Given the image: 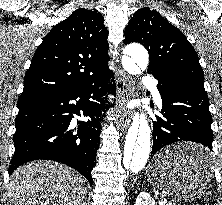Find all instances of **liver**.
<instances>
[{
    "mask_svg": "<svg viewBox=\"0 0 222 205\" xmlns=\"http://www.w3.org/2000/svg\"><path fill=\"white\" fill-rule=\"evenodd\" d=\"M84 178L52 161H32L14 171L8 183L9 205H84Z\"/></svg>",
    "mask_w": 222,
    "mask_h": 205,
    "instance_id": "obj_1",
    "label": "liver"
}]
</instances>
